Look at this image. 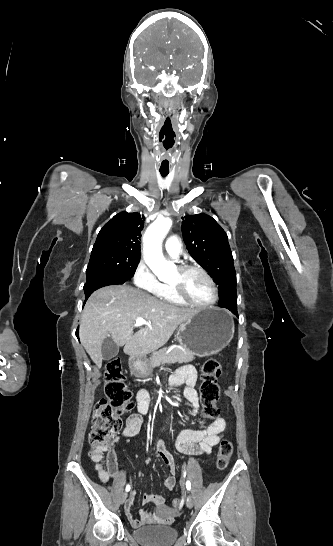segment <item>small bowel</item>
Returning a JSON list of instances; mask_svg holds the SVG:
<instances>
[{
    "instance_id": "obj_1",
    "label": "small bowel",
    "mask_w": 333,
    "mask_h": 546,
    "mask_svg": "<svg viewBox=\"0 0 333 546\" xmlns=\"http://www.w3.org/2000/svg\"><path fill=\"white\" fill-rule=\"evenodd\" d=\"M196 381L197 371L191 365L179 368L169 379V382L174 386L184 385V396L190 403L193 414L198 409V398L195 390ZM136 404L138 413H133L126 419L125 428L122 432V436L125 439L134 437L140 431L144 421L143 416L150 410L151 396L147 389L142 388L137 392ZM225 428V419L222 416H218L205 428L183 430L175 440V447L180 453L186 455H208L211 453L213 447L222 439ZM104 455H106L105 463L103 461ZM156 455L171 471V475L164 481L165 488L171 491L176 486L175 474L177 465L168 453L164 441L158 442ZM89 456L103 483H107L110 479L119 476L120 469L115 450L112 446L94 447L90 451ZM133 502L134 492L131 493L124 505L125 515L134 528L150 524H169L173 520L174 513L172 509L166 507L162 496L145 493L142 496V502L144 504H153L156 507V511L140 510L138 517L132 514Z\"/></svg>"
}]
</instances>
